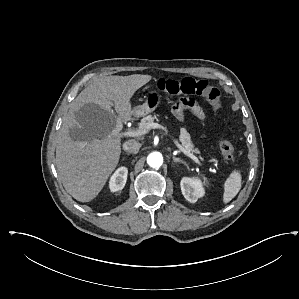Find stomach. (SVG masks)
I'll list each match as a JSON object with an SVG mask.
<instances>
[{
    "mask_svg": "<svg viewBox=\"0 0 299 299\" xmlns=\"http://www.w3.org/2000/svg\"><path fill=\"white\" fill-rule=\"evenodd\" d=\"M160 104V96L157 93L151 92L145 97V101L142 105H138L133 109V115L135 117H143L153 112Z\"/></svg>",
    "mask_w": 299,
    "mask_h": 299,
    "instance_id": "stomach-1",
    "label": "stomach"
}]
</instances>
